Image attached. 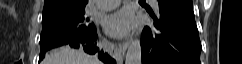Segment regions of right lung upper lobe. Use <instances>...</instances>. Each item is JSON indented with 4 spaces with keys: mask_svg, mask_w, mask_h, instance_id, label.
<instances>
[{
    "mask_svg": "<svg viewBox=\"0 0 242 64\" xmlns=\"http://www.w3.org/2000/svg\"><path fill=\"white\" fill-rule=\"evenodd\" d=\"M88 0H45L43 13L85 7Z\"/></svg>",
    "mask_w": 242,
    "mask_h": 64,
    "instance_id": "cb5924a9",
    "label": "right lung upper lobe"
}]
</instances>
